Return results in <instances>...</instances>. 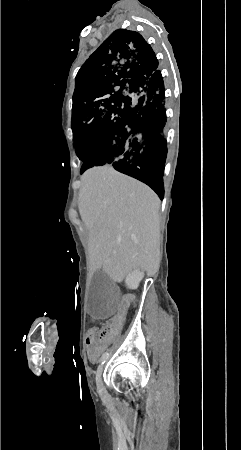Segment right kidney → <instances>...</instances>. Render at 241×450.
Segmentation results:
<instances>
[{
	"mask_svg": "<svg viewBox=\"0 0 241 450\" xmlns=\"http://www.w3.org/2000/svg\"><path fill=\"white\" fill-rule=\"evenodd\" d=\"M144 274L140 270H134L131 274H128L125 284L129 290H137Z\"/></svg>",
	"mask_w": 241,
	"mask_h": 450,
	"instance_id": "obj_1",
	"label": "right kidney"
}]
</instances>
